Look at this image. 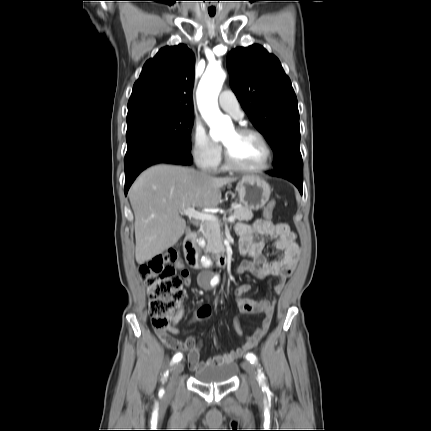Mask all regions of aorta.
Listing matches in <instances>:
<instances>
[{
	"mask_svg": "<svg viewBox=\"0 0 431 431\" xmlns=\"http://www.w3.org/2000/svg\"><path fill=\"white\" fill-rule=\"evenodd\" d=\"M226 74L219 66L207 67L197 89V104L199 111L210 127V136L217 140L223 137L231 127L230 120L225 117L218 107V95L225 81ZM206 266L211 265L210 259L203 258Z\"/></svg>",
	"mask_w": 431,
	"mask_h": 431,
	"instance_id": "obj_1",
	"label": "aorta"
}]
</instances>
